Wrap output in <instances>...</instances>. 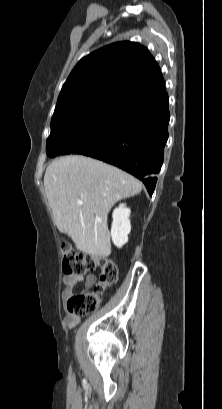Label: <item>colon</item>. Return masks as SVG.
<instances>
[{
  "label": "colon",
  "instance_id": "1",
  "mask_svg": "<svg viewBox=\"0 0 222 409\" xmlns=\"http://www.w3.org/2000/svg\"><path fill=\"white\" fill-rule=\"evenodd\" d=\"M62 269L66 274H84L101 269L99 280L92 290L74 294L67 301V311L74 316H84L95 311L102 295L118 281V268L109 258L78 253L69 243L61 245Z\"/></svg>",
  "mask_w": 222,
  "mask_h": 409
}]
</instances>
